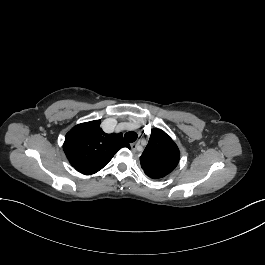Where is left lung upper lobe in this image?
Instances as JSON below:
<instances>
[{
  "label": "left lung upper lobe",
  "mask_w": 265,
  "mask_h": 265,
  "mask_svg": "<svg viewBox=\"0 0 265 265\" xmlns=\"http://www.w3.org/2000/svg\"><path fill=\"white\" fill-rule=\"evenodd\" d=\"M180 152L175 142L161 129L155 128L140 157L144 173L152 179H160L177 166Z\"/></svg>",
  "instance_id": "left-lung-upper-lobe-1"
}]
</instances>
